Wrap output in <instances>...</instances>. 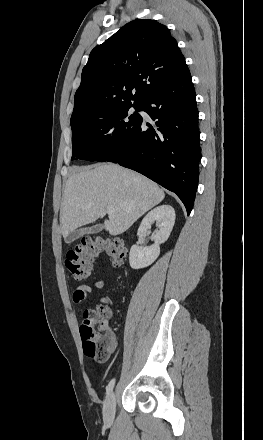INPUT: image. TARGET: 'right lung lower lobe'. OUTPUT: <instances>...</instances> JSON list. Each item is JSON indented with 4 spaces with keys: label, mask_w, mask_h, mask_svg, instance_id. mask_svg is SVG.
<instances>
[{
    "label": "right lung lower lobe",
    "mask_w": 263,
    "mask_h": 440,
    "mask_svg": "<svg viewBox=\"0 0 263 440\" xmlns=\"http://www.w3.org/2000/svg\"><path fill=\"white\" fill-rule=\"evenodd\" d=\"M155 127L139 124L97 161L133 169L181 199L189 215L199 179L200 143L196 95L189 70L141 102Z\"/></svg>",
    "instance_id": "right-lung-lower-lobe-1"
}]
</instances>
